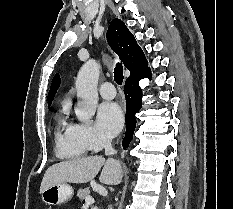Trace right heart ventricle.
Segmentation results:
<instances>
[{"instance_id":"1","label":"right heart ventricle","mask_w":233,"mask_h":209,"mask_svg":"<svg viewBox=\"0 0 233 209\" xmlns=\"http://www.w3.org/2000/svg\"><path fill=\"white\" fill-rule=\"evenodd\" d=\"M68 112L69 101L64 100L56 115V155L61 159H77L85 156L88 150L75 140L73 125L66 120Z\"/></svg>"}]
</instances>
